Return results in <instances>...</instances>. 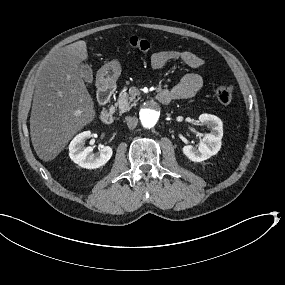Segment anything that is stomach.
<instances>
[{
  "instance_id": "obj_1",
  "label": "stomach",
  "mask_w": 285,
  "mask_h": 285,
  "mask_svg": "<svg viewBox=\"0 0 285 285\" xmlns=\"http://www.w3.org/2000/svg\"><path fill=\"white\" fill-rule=\"evenodd\" d=\"M121 72V67L118 61H111L105 69H101L97 74V80L104 86L114 84Z\"/></svg>"
}]
</instances>
